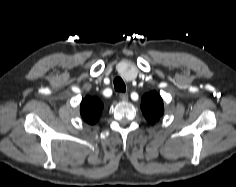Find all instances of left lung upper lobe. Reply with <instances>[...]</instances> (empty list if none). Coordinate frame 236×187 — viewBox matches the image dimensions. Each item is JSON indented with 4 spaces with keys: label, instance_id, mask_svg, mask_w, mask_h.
I'll return each instance as SVG.
<instances>
[{
    "label": "left lung upper lobe",
    "instance_id": "left-lung-upper-lobe-1",
    "mask_svg": "<svg viewBox=\"0 0 236 187\" xmlns=\"http://www.w3.org/2000/svg\"><path fill=\"white\" fill-rule=\"evenodd\" d=\"M141 110L150 123H155L164 113L163 100L156 91L146 93L142 97Z\"/></svg>",
    "mask_w": 236,
    "mask_h": 187
}]
</instances>
